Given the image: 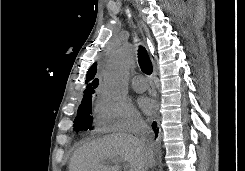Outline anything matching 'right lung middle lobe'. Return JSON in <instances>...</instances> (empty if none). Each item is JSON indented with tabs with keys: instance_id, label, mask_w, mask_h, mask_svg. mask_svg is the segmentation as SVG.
Wrapping results in <instances>:
<instances>
[{
	"instance_id": "right-lung-middle-lobe-1",
	"label": "right lung middle lobe",
	"mask_w": 245,
	"mask_h": 171,
	"mask_svg": "<svg viewBox=\"0 0 245 171\" xmlns=\"http://www.w3.org/2000/svg\"><path fill=\"white\" fill-rule=\"evenodd\" d=\"M92 95L83 98L74 120V130H87L92 128Z\"/></svg>"
}]
</instances>
